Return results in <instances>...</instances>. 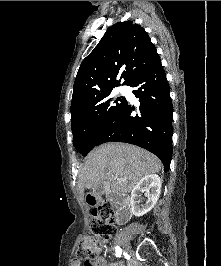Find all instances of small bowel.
<instances>
[{
	"label": "small bowel",
	"instance_id": "small-bowel-1",
	"mask_svg": "<svg viewBox=\"0 0 221 266\" xmlns=\"http://www.w3.org/2000/svg\"><path fill=\"white\" fill-rule=\"evenodd\" d=\"M72 266H81V263L78 261V259H75L73 262H72ZM83 266H115L113 264L111 265H108L104 256L103 255H100L96 258L95 261L93 262H86L83 264Z\"/></svg>",
	"mask_w": 221,
	"mask_h": 266
}]
</instances>
